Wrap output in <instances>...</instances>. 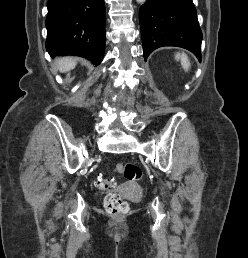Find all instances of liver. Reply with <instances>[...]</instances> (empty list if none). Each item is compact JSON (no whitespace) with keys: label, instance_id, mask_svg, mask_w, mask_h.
Instances as JSON below:
<instances>
[{"label":"liver","instance_id":"1","mask_svg":"<svg viewBox=\"0 0 248 258\" xmlns=\"http://www.w3.org/2000/svg\"><path fill=\"white\" fill-rule=\"evenodd\" d=\"M58 69L61 72H67L73 69L76 65V60L72 57L60 58L57 61Z\"/></svg>","mask_w":248,"mask_h":258}]
</instances>
